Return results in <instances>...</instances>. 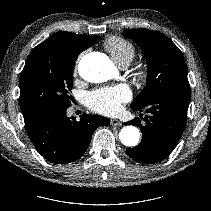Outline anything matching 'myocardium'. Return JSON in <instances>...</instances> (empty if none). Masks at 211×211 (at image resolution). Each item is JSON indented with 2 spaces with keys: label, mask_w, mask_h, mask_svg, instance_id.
I'll use <instances>...</instances> for the list:
<instances>
[{
  "label": "myocardium",
  "mask_w": 211,
  "mask_h": 211,
  "mask_svg": "<svg viewBox=\"0 0 211 211\" xmlns=\"http://www.w3.org/2000/svg\"><path fill=\"white\" fill-rule=\"evenodd\" d=\"M135 75L139 80H146L148 77V67L145 64H141L136 68Z\"/></svg>",
  "instance_id": "1"
}]
</instances>
